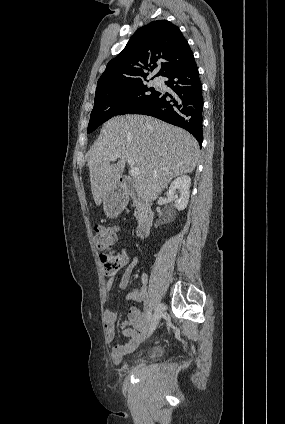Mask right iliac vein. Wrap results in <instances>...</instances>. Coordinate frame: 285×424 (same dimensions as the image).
Instances as JSON below:
<instances>
[{
  "mask_svg": "<svg viewBox=\"0 0 285 424\" xmlns=\"http://www.w3.org/2000/svg\"><path fill=\"white\" fill-rule=\"evenodd\" d=\"M163 312V304H159L154 312L153 318L150 323V329L147 334V337L151 336L154 330L156 329Z\"/></svg>",
  "mask_w": 285,
  "mask_h": 424,
  "instance_id": "obj_1",
  "label": "right iliac vein"
}]
</instances>
